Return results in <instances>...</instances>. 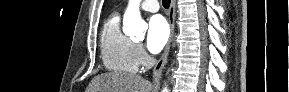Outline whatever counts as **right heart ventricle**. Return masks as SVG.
<instances>
[{"mask_svg":"<svg viewBox=\"0 0 289 92\" xmlns=\"http://www.w3.org/2000/svg\"><path fill=\"white\" fill-rule=\"evenodd\" d=\"M134 42L120 28V17L112 14L104 23L100 35L101 58L104 66L112 72L134 74L139 63Z\"/></svg>","mask_w":289,"mask_h":92,"instance_id":"1","label":"right heart ventricle"}]
</instances>
